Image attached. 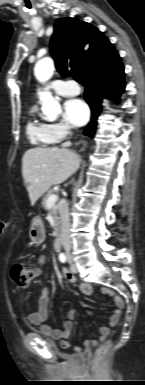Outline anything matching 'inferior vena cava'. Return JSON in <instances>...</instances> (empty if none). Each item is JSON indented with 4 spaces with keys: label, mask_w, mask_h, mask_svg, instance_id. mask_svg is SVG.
Wrapping results in <instances>:
<instances>
[{
    "label": "inferior vena cava",
    "mask_w": 145,
    "mask_h": 385,
    "mask_svg": "<svg viewBox=\"0 0 145 385\" xmlns=\"http://www.w3.org/2000/svg\"><path fill=\"white\" fill-rule=\"evenodd\" d=\"M59 214L61 223V243L67 255L70 254L71 250V239H70V216L69 207L65 199H62L59 204Z\"/></svg>",
    "instance_id": "602c4592"
}]
</instances>
